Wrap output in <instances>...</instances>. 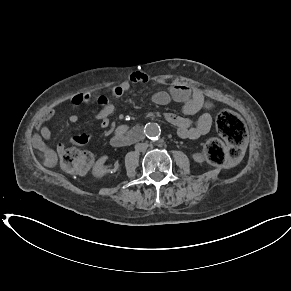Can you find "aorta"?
Segmentation results:
<instances>
[{"label":"aorta","instance_id":"aorta-1","mask_svg":"<svg viewBox=\"0 0 291 291\" xmlns=\"http://www.w3.org/2000/svg\"><path fill=\"white\" fill-rule=\"evenodd\" d=\"M161 129L156 123H149L145 127V134L150 139H156L160 136Z\"/></svg>","mask_w":291,"mask_h":291}]
</instances>
